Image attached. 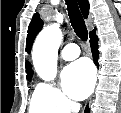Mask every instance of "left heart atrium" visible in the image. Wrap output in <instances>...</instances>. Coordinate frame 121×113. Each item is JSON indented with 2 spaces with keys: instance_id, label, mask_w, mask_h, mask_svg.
Listing matches in <instances>:
<instances>
[{
  "instance_id": "left-heart-atrium-1",
  "label": "left heart atrium",
  "mask_w": 121,
  "mask_h": 113,
  "mask_svg": "<svg viewBox=\"0 0 121 113\" xmlns=\"http://www.w3.org/2000/svg\"><path fill=\"white\" fill-rule=\"evenodd\" d=\"M65 92L75 100H83L91 93L95 72L88 60L82 59L68 65L62 72Z\"/></svg>"
}]
</instances>
